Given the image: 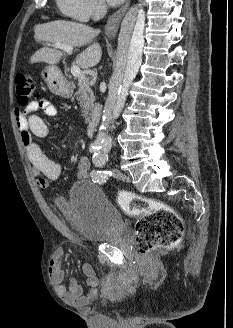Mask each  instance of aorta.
Wrapping results in <instances>:
<instances>
[{"label":"aorta","instance_id":"obj_1","mask_svg":"<svg viewBox=\"0 0 233 328\" xmlns=\"http://www.w3.org/2000/svg\"><path fill=\"white\" fill-rule=\"evenodd\" d=\"M144 24L145 13L138 6H132L122 20L116 66L109 82L102 122L95 139V145L101 149L111 148L112 139L107 134V129L109 124L119 117L128 95V88L141 65Z\"/></svg>","mask_w":233,"mask_h":328}]
</instances>
